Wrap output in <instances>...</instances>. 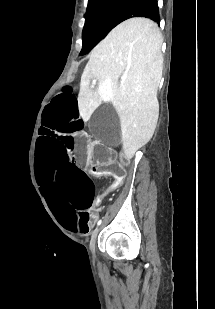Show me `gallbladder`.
<instances>
[{
    "instance_id": "obj_1",
    "label": "gallbladder",
    "mask_w": 215,
    "mask_h": 309,
    "mask_svg": "<svg viewBox=\"0 0 215 309\" xmlns=\"http://www.w3.org/2000/svg\"><path fill=\"white\" fill-rule=\"evenodd\" d=\"M98 108L91 115L90 132L97 136V140H101V144H107V148H118L122 142L118 115L112 103H99Z\"/></svg>"
}]
</instances>
